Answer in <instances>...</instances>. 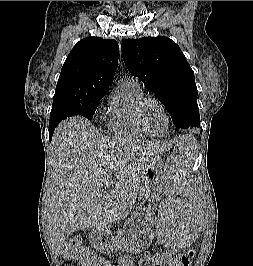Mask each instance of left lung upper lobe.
I'll return each mask as SVG.
<instances>
[{
    "label": "left lung upper lobe",
    "mask_w": 253,
    "mask_h": 266,
    "mask_svg": "<svg viewBox=\"0 0 253 266\" xmlns=\"http://www.w3.org/2000/svg\"><path fill=\"white\" fill-rule=\"evenodd\" d=\"M121 50L128 70L158 97L177 129L200 126L194 72L174 41L167 37L127 39Z\"/></svg>",
    "instance_id": "1"
}]
</instances>
